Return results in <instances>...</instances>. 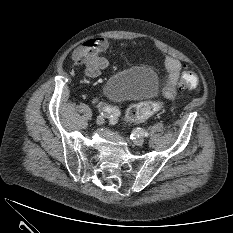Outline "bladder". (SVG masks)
Returning a JSON list of instances; mask_svg holds the SVG:
<instances>
[{
    "label": "bladder",
    "instance_id": "bladder-1",
    "mask_svg": "<svg viewBox=\"0 0 233 233\" xmlns=\"http://www.w3.org/2000/svg\"><path fill=\"white\" fill-rule=\"evenodd\" d=\"M159 88L157 73L135 65L113 74L104 84V94L113 101L140 100L154 96Z\"/></svg>",
    "mask_w": 233,
    "mask_h": 233
}]
</instances>
